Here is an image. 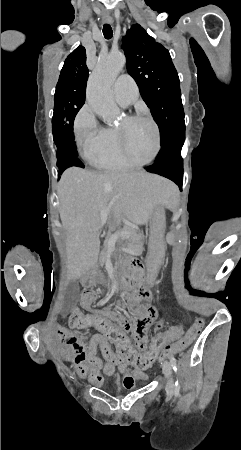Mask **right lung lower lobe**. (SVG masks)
Wrapping results in <instances>:
<instances>
[{
    "mask_svg": "<svg viewBox=\"0 0 241 450\" xmlns=\"http://www.w3.org/2000/svg\"><path fill=\"white\" fill-rule=\"evenodd\" d=\"M69 137L67 139L68 149H67V156L68 162L71 166H78V167H84L83 163L77 158L78 153L76 150V146L74 143V136H73V124L72 127L69 129L68 133Z\"/></svg>",
    "mask_w": 241,
    "mask_h": 450,
    "instance_id": "right-lung-lower-lobe-1",
    "label": "right lung lower lobe"
}]
</instances>
